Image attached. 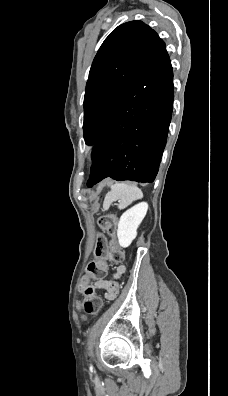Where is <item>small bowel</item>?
Returning a JSON list of instances; mask_svg holds the SVG:
<instances>
[{
	"instance_id": "c3829d8e",
	"label": "small bowel",
	"mask_w": 228,
	"mask_h": 396,
	"mask_svg": "<svg viewBox=\"0 0 228 396\" xmlns=\"http://www.w3.org/2000/svg\"><path fill=\"white\" fill-rule=\"evenodd\" d=\"M124 270L125 269L123 266L119 267L117 276L122 274ZM95 285L97 288L105 290V298L108 300L115 299L119 294V285L114 279H110V280L100 279L95 283Z\"/></svg>"
}]
</instances>
